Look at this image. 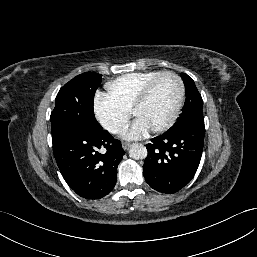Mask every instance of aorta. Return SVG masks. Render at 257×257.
Returning <instances> with one entry per match:
<instances>
[{
	"label": "aorta",
	"instance_id": "1",
	"mask_svg": "<svg viewBox=\"0 0 257 257\" xmlns=\"http://www.w3.org/2000/svg\"><path fill=\"white\" fill-rule=\"evenodd\" d=\"M129 155L136 160L145 159L147 157V149L144 145L135 143L130 147Z\"/></svg>",
	"mask_w": 257,
	"mask_h": 257
}]
</instances>
